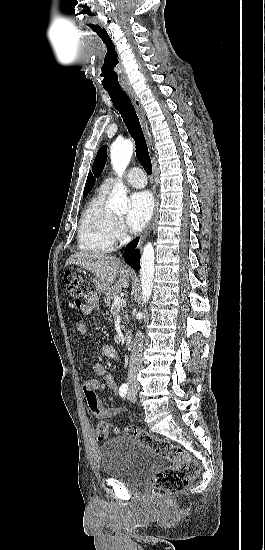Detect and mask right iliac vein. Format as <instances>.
Returning <instances> with one entry per match:
<instances>
[{
    "mask_svg": "<svg viewBox=\"0 0 265 550\" xmlns=\"http://www.w3.org/2000/svg\"><path fill=\"white\" fill-rule=\"evenodd\" d=\"M130 394H131L132 396H136L137 390L134 389V388H132V389L130 390Z\"/></svg>",
    "mask_w": 265,
    "mask_h": 550,
    "instance_id": "obj_1",
    "label": "right iliac vein"
}]
</instances>
